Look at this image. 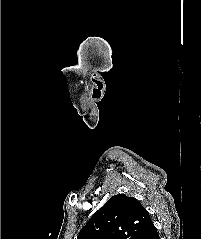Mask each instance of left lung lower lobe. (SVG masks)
<instances>
[{
  "mask_svg": "<svg viewBox=\"0 0 201 239\" xmlns=\"http://www.w3.org/2000/svg\"><path fill=\"white\" fill-rule=\"evenodd\" d=\"M139 239H160L157 229L151 222L146 230V232Z\"/></svg>",
  "mask_w": 201,
  "mask_h": 239,
  "instance_id": "obj_1",
  "label": "left lung lower lobe"
}]
</instances>
